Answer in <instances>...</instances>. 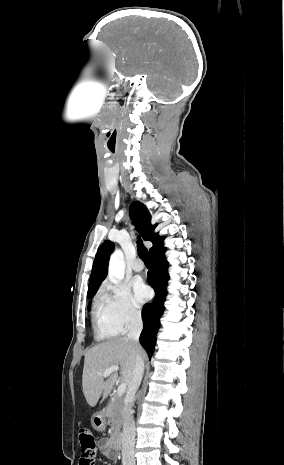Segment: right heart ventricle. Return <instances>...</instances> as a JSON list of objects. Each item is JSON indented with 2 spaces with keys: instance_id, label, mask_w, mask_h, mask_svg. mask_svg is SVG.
<instances>
[{
  "instance_id": "obj_1",
  "label": "right heart ventricle",
  "mask_w": 284,
  "mask_h": 465,
  "mask_svg": "<svg viewBox=\"0 0 284 465\" xmlns=\"http://www.w3.org/2000/svg\"><path fill=\"white\" fill-rule=\"evenodd\" d=\"M91 323L96 340L116 338L122 332L111 318L106 307L101 303L94 305Z\"/></svg>"
}]
</instances>
